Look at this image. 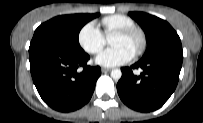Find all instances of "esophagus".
<instances>
[{
	"label": "esophagus",
	"mask_w": 203,
	"mask_h": 123,
	"mask_svg": "<svg viewBox=\"0 0 203 123\" xmlns=\"http://www.w3.org/2000/svg\"><path fill=\"white\" fill-rule=\"evenodd\" d=\"M109 71H111L110 68H102V72H104V73L109 72Z\"/></svg>",
	"instance_id": "1"
}]
</instances>
